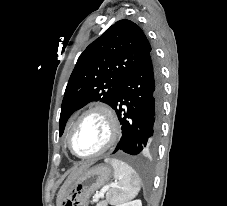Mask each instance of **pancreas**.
Instances as JSON below:
<instances>
[{
  "mask_svg": "<svg viewBox=\"0 0 227 206\" xmlns=\"http://www.w3.org/2000/svg\"><path fill=\"white\" fill-rule=\"evenodd\" d=\"M97 206H107V202L106 201H102L97 203Z\"/></svg>",
  "mask_w": 227,
  "mask_h": 206,
  "instance_id": "cf45deb5",
  "label": "pancreas"
}]
</instances>
